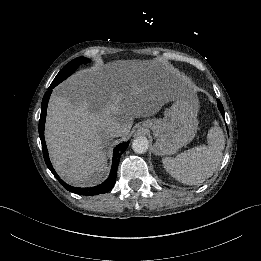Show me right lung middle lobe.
<instances>
[{"mask_svg": "<svg viewBox=\"0 0 261 261\" xmlns=\"http://www.w3.org/2000/svg\"><path fill=\"white\" fill-rule=\"evenodd\" d=\"M90 60L85 57H78L70 61L54 78V80L51 83L52 87L57 86L59 83H61L63 80H65L67 77H69L80 64H86L89 63Z\"/></svg>", "mask_w": 261, "mask_h": 261, "instance_id": "obj_1", "label": "right lung middle lobe"}]
</instances>
